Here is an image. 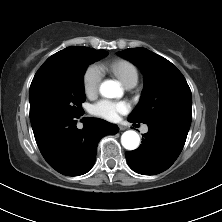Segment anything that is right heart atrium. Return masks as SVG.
Here are the masks:
<instances>
[{
	"mask_svg": "<svg viewBox=\"0 0 222 222\" xmlns=\"http://www.w3.org/2000/svg\"><path fill=\"white\" fill-rule=\"evenodd\" d=\"M103 78V71L97 64L89 65L83 74V88L87 96L97 94L101 80Z\"/></svg>",
	"mask_w": 222,
	"mask_h": 222,
	"instance_id": "right-heart-atrium-1",
	"label": "right heart atrium"
}]
</instances>
